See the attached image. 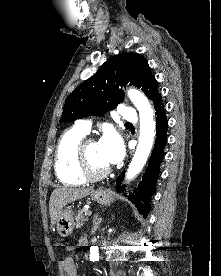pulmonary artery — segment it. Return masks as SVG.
<instances>
[{"label": "pulmonary artery", "instance_id": "pulmonary-artery-1", "mask_svg": "<svg viewBox=\"0 0 221 276\" xmlns=\"http://www.w3.org/2000/svg\"><path fill=\"white\" fill-rule=\"evenodd\" d=\"M122 119L133 122L136 120V112L133 108L123 106L120 112ZM76 128L87 134L91 129V122L89 120H79L76 123Z\"/></svg>", "mask_w": 221, "mask_h": 276}]
</instances>
